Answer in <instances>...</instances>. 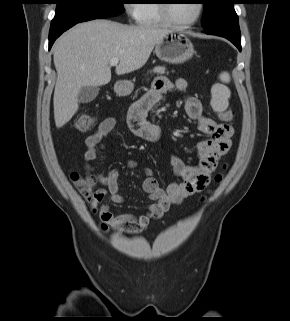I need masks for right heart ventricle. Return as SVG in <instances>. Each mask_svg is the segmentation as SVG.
Here are the masks:
<instances>
[{
    "mask_svg": "<svg viewBox=\"0 0 290 321\" xmlns=\"http://www.w3.org/2000/svg\"><path fill=\"white\" fill-rule=\"evenodd\" d=\"M141 3L135 6L136 21L140 25H163L165 21L158 8V0H140Z\"/></svg>",
    "mask_w": 290,
    "mask_h": 321,
    "instance_id": "1",
    "label": "right heart ventricle"
}]
</instances>
